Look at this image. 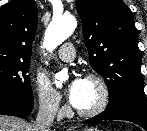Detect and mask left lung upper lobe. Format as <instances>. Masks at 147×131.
<instances>
[{"instance_id": "obj_1", "label": "left lung upper lobe", "mask_w": 147, "mask_h": 131, "mask_svg": "<svg viewBox=\"0 0 147 131\" xmlns=\"http://www.w3.org/2000/svg\"><path fill=\"white\" fill-rule=\"evenodd\" d=\"M76 9L89 62L109 88L107 109L147 106L138 33L129 7L122 0H77Z\"/></svg>"}]
</instances>
